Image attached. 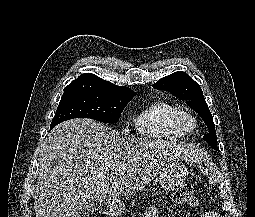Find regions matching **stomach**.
<instances>
[{"label":"stomach","instance_id":"stomach-1","mask_svg":"<svg viewBox=\"0 0 255 217\" xmlns=\"http://www.w3.org/2000/svg\"><path fill=\"white\" fill-rule=\"evenodd\" d=\"M187 170L182 160L174 161L167 165L158 176L159 185L166 191H171L177 188L187 177ZM110 213L119 216L125 210V205L121 200H113L109 203Z\"/></svg>","mask_w":255,"mask_h":217}]
</instances>
